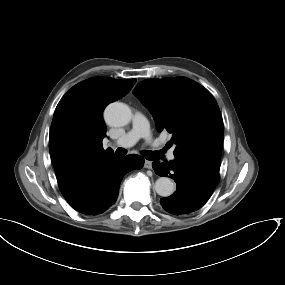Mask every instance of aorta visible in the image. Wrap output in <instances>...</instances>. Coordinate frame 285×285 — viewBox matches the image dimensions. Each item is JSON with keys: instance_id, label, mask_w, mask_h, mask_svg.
I'll list each match as a JSON object with an SVG mask.
<instances>
[{"instance_id": "aorta-1", "label": "aorta", "mask_w": 285, "mask_h": 285, "mask_svg": "<svg viewBox=\"0 0 285 285\" xmlns=\"http://www.w3.org/2000/svg\"><path fill=\"white\" fill-rule=\"evenodd\" d=\"M106 122L115 127L127 125L132 117L130 108L121 102H114L105 109ZM154 189L156 193L162 197H168L175 191V184L168 177H160L156 180Z\"/></svg>"}]
</instances>
